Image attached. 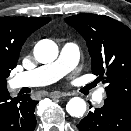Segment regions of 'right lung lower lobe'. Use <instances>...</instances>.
I'll return each instance as SVG.
<instances>
[{
  "mask_svg": "<svg viewBox=\"0 0 131 131\" xmlns=\"http://www.w3.org/2000/svg\"><path fill=\"white\" fill-rule=\"evenodd\" d=\"M37 103L29 94L11 98L7 88L0 90V131H33Z\"/></svg>",
  "mask_w": 131,
  "mask_h": 131,
  "instance_id": "right-lung-lower-lobe-1",
  "label": "right lung lower lobe"
}]
</instances>
